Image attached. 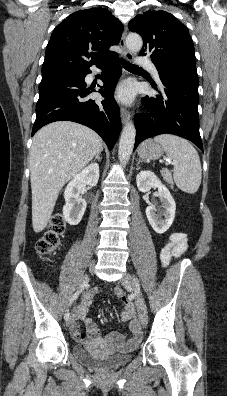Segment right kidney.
Wrapping results in <instances>:
<instances>
[{
    "label": "right kidney",
    "mask_w": 227,
    "mask_h": 396,
    "mask_svg": "<svg viewBox=\"0 0 227 396\" xmlns=\"http://www.w3.org/2000/svg\"><path fill=\"white\" fill-rule=\"evenodd\" d=\"M99 179V166L97 163H91L68 183L65 192V205L63 206L64 219L70 225H77L86 210L87 203L80 196L83 186L89 185L94 187Z\"/></svg>",
    "instance_id": "right-kidney-1"
}]
</instances>
